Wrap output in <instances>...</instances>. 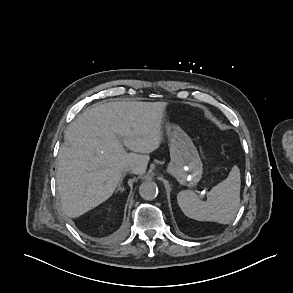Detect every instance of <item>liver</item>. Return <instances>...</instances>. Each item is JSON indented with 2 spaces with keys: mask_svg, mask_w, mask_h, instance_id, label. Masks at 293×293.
<instances>
[{
  "mask_svg": "<svg viewBox=\"0 0 293 293\" xmlns=\"http://www.w3.org/2000/svg\"><path fill=\"white\" fill-rule=\"evenodd\" d=\"M166 107L164 102H108L87 108L70 123L57 171L61 207L68 217H79L109 199L125 167L145 173L148 154L161 144Z\"/></svg>",
  "mask_w": 293,
  "mask_h": 293,
  "instance_id": "1",
  "label": "liver"
}]
</instances>
